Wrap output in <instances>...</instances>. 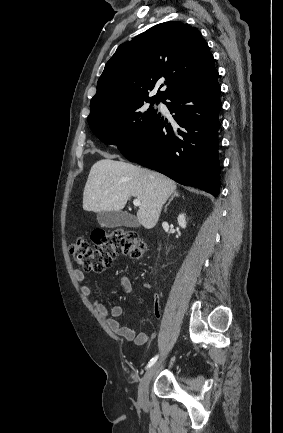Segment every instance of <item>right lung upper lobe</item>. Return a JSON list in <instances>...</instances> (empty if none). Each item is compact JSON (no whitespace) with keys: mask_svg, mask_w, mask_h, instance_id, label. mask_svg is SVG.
Returning <instances> with one entry per match:
<instances>
[{"mask_svg":"<svg viewBox=\"0 0 283 433\" xmlns=\"http://www.w3.org/2000/svg\"><path fill=\"white\" fill-rule=\"evenodd\" d=\"M217 75L199 30L179 21L161 23L118 47L98 80L90 115L138 100L164 101ZM164 79L167 88L148 97Z\"/></svg>","mask_w":283,"mask_h":433,"instance_id":"obj_1","label":"right lung upper lobe"}]
</instances>
